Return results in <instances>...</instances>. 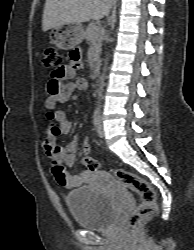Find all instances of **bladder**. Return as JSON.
I'll return each mask as SVG.
<instances>
[{
    "label": "bladder",
    "mask_w": 194,
    "mask_h": 250,
    "mask_svg": "<svg viewBox=\"0 0 194 250\" xmlns=\"http://www.w3.org/2000/svg\"><path fill=\"white\" fill-rule=\"evenodd\" d=\"M66 204L75 222L90 230L108 228L117 215L115 200L89 185L69 191Z\"/></svg>",
    "instance_id": "1"
}]
</instances>
